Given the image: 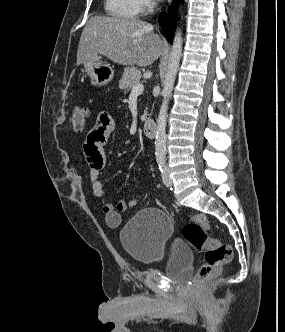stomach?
Returning a JSON list of instances; mask_svg holds the SVG:
<instances>
[{"mask_svg": "<svg viewBox=\"0 0 285 332\" xmlns=\"http://www.w3.org/2000/svg\"><path fill=\"white\" fill-rule=\"evenodd\" d=\"M84 67L94 86H105L114 77L113 68L104 63L98 55H94L89 61H86Z\"/></svg>", "mask_w": 285, "mask_h": 332, "instance_id": "0dacf381", "label": "stomach"}]
</instances>
